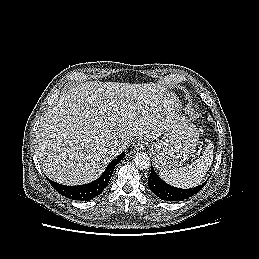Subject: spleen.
<instances>
[{
	"label": "spleen",
	"mask_w": 259,
	"mask_h": 259,
	"mask_svg": "<svg viewBox=\"0 0 259 259\" xmlns=\"http://www.w3.org/2000/svg\"><path fill=\"white\" fill-rule=\"evenodd\" d=\"M213 149V143H209L199 159L180 168L161 170L160 177L175 187L192 188L199 185L213 163Z\"/></svg>",
	"instance_id": "spleen-1"
}]
</instances>
